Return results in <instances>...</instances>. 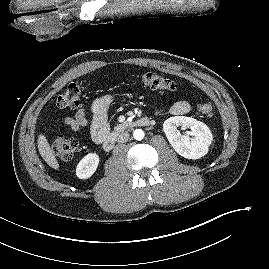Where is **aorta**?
<instances>
[{
  "instance_id": "762f6f07",
  "label": "aorta",
  "mask_w": 269,
  "mask_h": 269,
  "mask_svg": "<svg viewBox=\"0 0 269 269\" xmlns=\"http://www.w3.org/2000/svg\"><path fill=\"white\" fill-rule=\"evenodd\" d=\"M144 131L142 129H136L134 132H133V137L136 139V140H142L144 138Z\"/></svg>"
}]
</instances>
